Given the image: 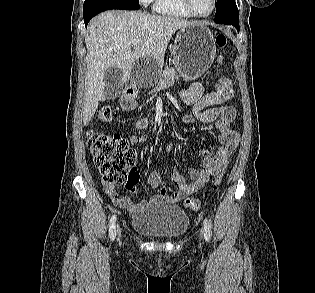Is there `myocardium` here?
Segmentation results:
<instances>
[{"label": "myocardium", "instance_id": "obj_1", "mask_svg": "<svg viewBox=\"0 0 315 293\" xmlns=\"http://www.w3.org/2000/svg\"><path fill=\"white\" fill-rule=\"evenodd\" d=\"M213 2V6L212 9L209 13L207 14H199L196 12V10L194 9L193 6V1L192 0H184L185 6L188 9V11L194 16V17H198V18H206L209 17L211 14H213V12L215 11L216 7H217V0H212Z\"/></svg>", "mask_w": 315, "mask_h": 293}]
</instances>
